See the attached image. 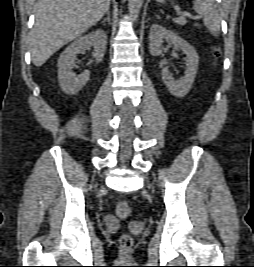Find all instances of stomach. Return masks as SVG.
Listing matches in <instances>:
<instances>
[{"label": "stomach", "instance_id": "stomach-1", "mask_svg": "<svg viewBox=\"0 0 254 267\" xmlns=\"http://www.w3.org/2000/svg\"><path fill=\"white\" fill-rule=\"evenodd\" d=\"M156 1L159 2V3L165 2V0H156Z\"/></svg>", "mask_w": 254, "mask_h": 267}]
</instances>
